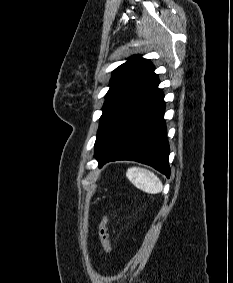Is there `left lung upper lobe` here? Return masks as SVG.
Here are the masks:
<instances>
[{
  "mask_svg": "<svg viewBox=\"0 0 233 283\" xmlns=\"http://www.w3.org/2000/svg\"><path fill=\"white\" fill-rule=\"evenodd\" d=\"M155 75L153 64L139 55L130 57L114 70L102 108L95 152L104 144Z\"/></svg>",
  "mask_w": 233,
  "mask_h": 283,
  "instance_id": "5c2ea615",
  "label": "left lung upper lobe"
}]
</instances>
